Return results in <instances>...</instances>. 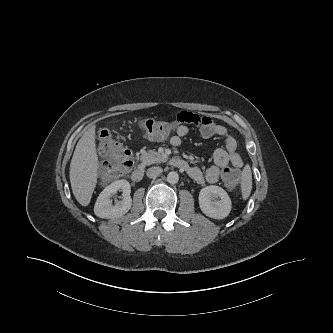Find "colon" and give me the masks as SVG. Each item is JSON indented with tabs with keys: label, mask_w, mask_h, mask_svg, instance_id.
Masks as SVG:
<instances>
[{
	"label": "colon",
	"mask_w": 333,
	"mask_h": 333,
	"mask_svg": "<svg viewBox=\"0 0 333 333\" xmlns=\"http://www.w3.org/2000/svg\"><path fill=\"white\" fill-rule=\"evenodd\" d=\"M173 122L160 121L155 119H144L140 121L139 127L144 134L154 140L167 138L175 129ZM99 151L106 159L100 168L102 179L111 181L126 174L133 166L131 152L119 143L108 129L99 131ZM223 179L226 186L233 188L238 184L239 172L233 168H226L223 171Z\"/></svg>",
	"instance_id": "colon-1"
}]
</instances>
